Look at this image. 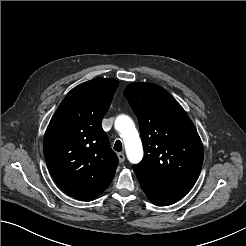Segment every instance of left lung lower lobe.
I'll return each mask as SVG.
<instances>
[{
	"label": "left lung lower lobe",
	"mask_w": 246,
	"mask_h": 246,
	"mask_svg": "<svg viewBox=\"0 0 246 246\" xmlns=\"http://www.w3.org/2000/svg\"><path fill=\"white\" fill-rule=\"evenodd\" d=\"M137 178L149 200L157 206L174 204L185 194V192L159 185L151 180L142 177Z\"/></svg>",
	"instance_id": "left-lung-lower-lobe-1"
}]
</instances>
